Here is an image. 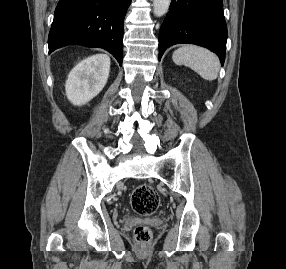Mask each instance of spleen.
<instances>
[{
    "label": "spleen",
    "mask_w": 286,
    "mask_h": 269,
    "mask_svg": "<svg viewBox=\"0 0 286 269\" xmlns=\"http://www.w3.org/2000/svg\"><path fill=\"white\" fill-rule=\"evenodd\" d=\"M172 58L175 64L190 67L207 81L215 80L218 76L219 59L205 48L185 45L175 50Z\"/></svg>",
    "instance_id": "3e777b00"
}]
</instances>
